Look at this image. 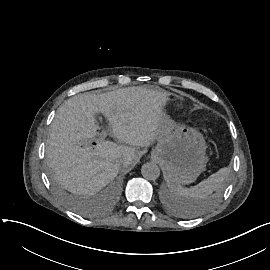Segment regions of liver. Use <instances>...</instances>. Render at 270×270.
Returning a JSON list of instances; mask_svg holds the SVG:
<instances>
[{
	"label": "liver",
	"instance_id": "1",
	"mask_svg": "<svg viewBox=\"0 0 270 270\" xmlns=\"http://www.w3.org/2000/svg\"><path fill=\"white\" fill-rule=\"evenodd\" d=\"M168 96L160 89L137 86L69 98L50 125L46 145L47 163L56 180L72 193L95 195L119 170L134 163L135 146L148 147L157 138ZM97 113L109 120L113 136L122 144L108 140L83 144L97 135Z\"/></svg>",
	"mask_w": 270,
	"mask_h": 270
}]
</instances>
